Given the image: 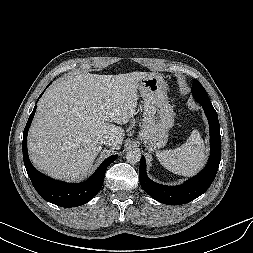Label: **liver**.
Instances as JSON below:
<instances>
[{
  "instance_id": "obj_1",
  "label": "liver",
  "mask_w": 253,
  "mask_h": 253,
  "mask_svg": "<svg viewBox=\"0 0 253 253\" xmlns=\"http://www.w3.org/2000/svg\"><path fill=\"white\" fill-rule=\"evenodd\" d=\"M154 73L70 75L44 93L28 133L35 167L53 178L78 181L102 150V139L120 149L126 124L136 111L142 78Z\"/></svg>"
}]
</instances>
